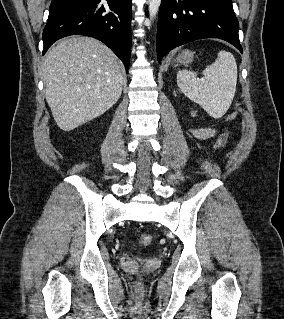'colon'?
Instances as JSON below:
<instances>
[{
  "label": "colon",
  "mask_w": 284,
  "mask_h": 319,
  "mask_svg": "<svg viewBox=\"0 0 284 319\" xmlns=\"http://www.w3.org/2000/svg\"><path fill=\"white\" fill-rule=\"evenodd\" d=\"M236 117H237V113L236 112H231V113H228L225 116V120L226 121H233V120L236 119ZM226 140H227V134L225 132H222L217 138L216 146L218 148L224 147L226 145ZM151 242H152V236L150 234H148V233L140 234V236H139V244L141 246H148V245H150ZM135 288H136L137 292H141L142 283H141L140 280H138L136 282Z\"/></svg>",
  "instance_id": "obj_1"
}]
</instances>
